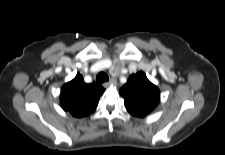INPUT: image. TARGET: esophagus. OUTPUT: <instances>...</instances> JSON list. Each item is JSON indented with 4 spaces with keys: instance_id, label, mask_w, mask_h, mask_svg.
<instances>
[{
    "instance_id": "34e87169",
    "label": "esophagus",
    "mask_w": 225,
    "mask_h": 155,
    "mask_svg": "<svg viewBox=\"0 0 225 155\" xmlns=\"http://www.w3.org/2000/svg\"><path fill=\"white\" fill-rule=\"evenodd\" d=\"M116 84V79L112 78L108 82L104 83V87H109L110 85Z\"/></svg>"
}]
</instances>
